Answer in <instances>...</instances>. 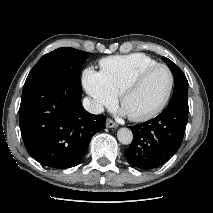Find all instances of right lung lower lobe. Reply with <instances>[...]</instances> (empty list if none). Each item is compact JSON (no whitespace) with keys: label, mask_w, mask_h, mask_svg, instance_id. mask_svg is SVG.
I'll return each mask as SVG.
<instances>
[{"label":"right lung lower lobe","mask_w":213,"mask_h":213,"mask_svg":"<svg viewBox=\"0 0 213 213\" xmlns=\"http://www.w3.org/2000/svg\"><path fill=\"white\" fill-rule=\"evenodd\" d=\"M82 90L56 72H39L25 81L20 104V129L30 156L57 169L81 162L92 136L105 129L104 115L88 113Z\"/></svg>","instance_id":"right-lung-lower-lobe-1"}]
</instances>
